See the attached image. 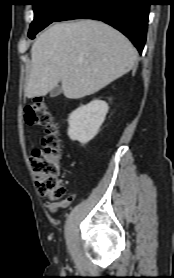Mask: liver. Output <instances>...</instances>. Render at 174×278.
<instances>
[{
  "label": "liver",
  "mask_w": 174,
  "mask_h": 278,
  "mask_svg": "<svg viewBox=\"0 0 174 278\" xmlns=\"http://www.w3.org/2000/svg\"><path fill=\"white\" fill-rule=\"evenodd\" d=\"M136 57L132 43L101 21L56 23L32 45L25 96H44L60 81L66 98L94 94L128 73Z\"/></svg>",
  "instance_id": "liver-1"
}]
</instances>
